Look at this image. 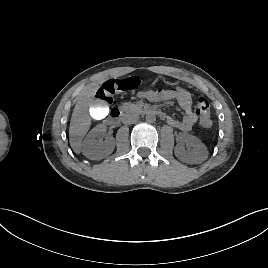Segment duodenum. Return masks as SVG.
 <instances>
[{
  "mask_svg": "<svg viewBox=\"0 0 268 268\" xmlns=\"http://www.w3.org/2000/svg\"><path fill=\"white\" fill-rule=\"evenodd\" d=\"M138 113H144V114H152L156 115L159 117H164V114L158 110L151 109L148 107H139L136 109ZM123 116V111L117 107H113L110 110L109 118H108V123L110 124H117L120 122Z\"/></svg>",
  "mask_w": 268,
  "mask_h": 268,
  "instance_id": "obj_1",
  "label": "duodenum"
}]
</instances>
